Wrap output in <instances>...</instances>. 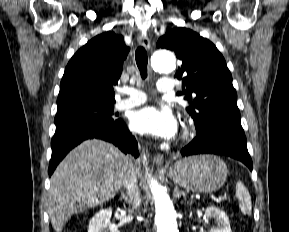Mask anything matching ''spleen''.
Instances as JSON below:
<instances>
[{"label":"spleen","instance_id":"1","mask_svg":"<svg viewBox=\"0 0 289 232\" xmlns=\"http://www.w3.org/2000/svg\"><path fill=\"white\" fill-rule=\"evenodd\" d=\"M236 197L239 200V207L245 215H251L252 202L248 189L242 181L236 183Z\"/></svg>","mask_w":289,"mask_h":232}]
</instances>
